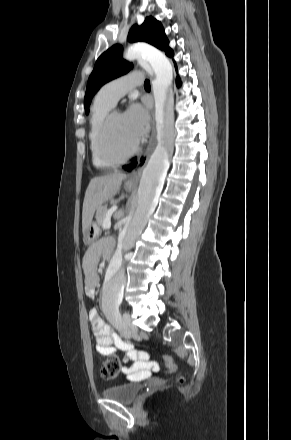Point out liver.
<instances>
[{
  "instance_id": "1",
  "label": "liver",
  "mask_w": 291,
  "mask_h": 440,
  "mask_svg": "<svg viewBox=\"0 0 291 440\" xmlns=\"http://www.w3.org/2000/svg\"><path fill=\"white\" fill-rule=\"evenodd\" d=\"M125 178L126 174L115 172L91 179L83 202V233H85L91 225L95 211L98 210L103 203L107 202L117 194L121 183Z\"/></svg>"
}]
</instances>
